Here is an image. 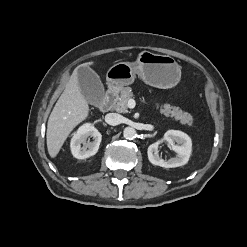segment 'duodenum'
I'll use <instances>...</instances> for the list:
<instances>
[{
  "label": "duodenum",
  "instance_id": "410a0bca",
  "mask_svg": "<svg viewBox=\"0 0 247 247\" xmlns=\"http://www.w3.org/2000/svg\"><path fill=\"white\" fill-rule=\"evenodd\" d=\"M117 97H118V92L116 89L114 88L108 89L100 104V110L103 112L108 111L116 102Z\"/></svg>",
  "mask_w": 247,
  "mask_h": 247
}]
</instances>
